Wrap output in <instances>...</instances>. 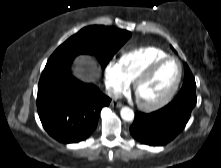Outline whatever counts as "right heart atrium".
I'll return each instance as SVG.
<instances>
[{
  "instance_id": "obj_1",
  "label": "right heart atrium",
  "mask_w": 221,
  "mask_h": 168,
  "mask_svg": "<svg viewBox=\"0 0 221 168\" xmlns=\"http://www.w3.org/2000/svg\"><path fill=\"white\" fill-rule=\"evenodd\" d=\"M104 84L107 94L111 97H117L127 89L129 82L122 74L118 62L110 61L105 66Z\"/></svg>"
}]
</instances>
